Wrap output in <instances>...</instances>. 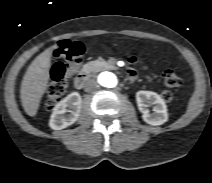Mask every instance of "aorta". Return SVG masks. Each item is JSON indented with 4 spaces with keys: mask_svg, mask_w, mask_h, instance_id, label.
<instances>
[{
    "mask_svg": "<svg viewBox=\"0 0 212 183\" xmlns=\"http://www.w3.org/2000/svg\"><path fill=\"white\" fill-rule=\"evenodd\" d=\"M98 83L105 89H113L118 85V78L111 72H103L98 76Z\"/></svg>",
    "mask_w": 212,
    "mask_h": 183,
    "instance_id": "1",
    "label": "aorta"
}]
</instances>
